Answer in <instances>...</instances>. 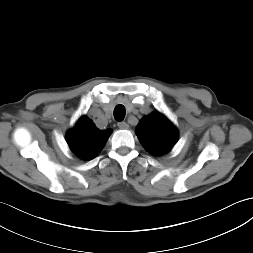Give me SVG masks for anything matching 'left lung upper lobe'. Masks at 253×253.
Segmentation results:
<instances>
[{
	"label": "left lung upper lobe",
	"mask_w": 253,
	"mask_h": 253,
	"mask_svg": "<svg viewBox=\"0 0 253 253\" xmlns=\"http://www.w3.org/2000/svg\"><path fill=\"white\" fill-rule=\"evenodd\" d=\"M136 134L145 150L153 155L167 153L178 139L177 129L158 111L140 121Z\"/></svg>",
	"instance_id": "1"
}]
</instances>
